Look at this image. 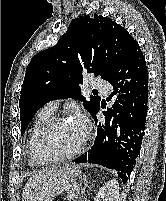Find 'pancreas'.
<instances>
[{"instance_id": "cf45deb5", "label": "pancreas", "mask_w": 166, "mask_h": 201, "mask_svg": "<svg viewBox=\"0 0 166 201\" xmlns=\"http://www.w3.org/2000/svg\"><path fill=\"white\" fill-rule=\"evenodd\" d=\"M78 191L73 188L69 193H68V198L71 199L72 201H77L78 196H77Z\"/></svg>"}]
</instances>
